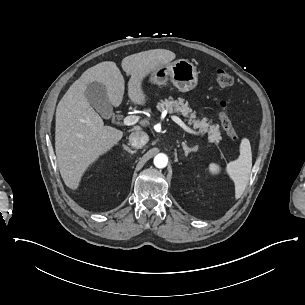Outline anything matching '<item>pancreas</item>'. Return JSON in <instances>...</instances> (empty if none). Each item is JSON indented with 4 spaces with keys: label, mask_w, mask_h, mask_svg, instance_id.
Instances as JSON below:
<instances>
[{
    "label": "pancreas",
    "mask_w": 305,
    "mask_h": 305,
    "mask_svg": "<svg viewBox=\"0 0 305 305\" xmlns=\"http://www.w3.org/2000/svg\"><path fill=\"white\" fill-rule=\"evenodd\" d=\"M158 111L168 110L170 114L176 113L177 115H182L185 118H189V124L193 125L194 128L207 132L208 138L211 142L219 144L221 137V132L219 131V125L207 122L204 117L202 120L197 119L196 112L193 111L188 103L184 104V99L179 100H169L159 102L157 106Z\"/></svg>",
    "instance_id": "cf45deb5"
}]
</instances>
